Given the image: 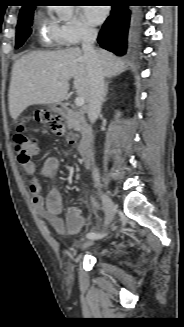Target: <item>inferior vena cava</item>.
Returning <instances> with one entry per match:
<instances>
[{
	"instance_id": "602c4592",
	"label": "inferior vena cava",
	"mask_w": 184,
	"mask_h": 327,
	"mask_svg": "<svg viewBox=\"0 0 184 327\" xmlns=\"http://www.w3.org/2000/svg\"><path fill=\"white\" fill-rule=\"evenodd\" d=\"M97 38V31L91 27H87L83 31L82 50L84 58L87 62L90 77V97L88 103V118L94 123L101 110L105 85L101 63L94 49V43ZM93 178L95 181L100 180L97 168L93 170Z\"/></svg>"
}]
</instances>
